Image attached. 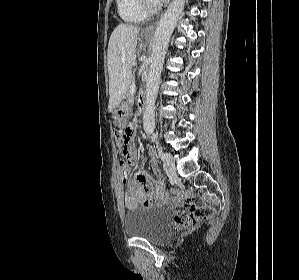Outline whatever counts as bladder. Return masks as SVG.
<instances>
[{
	"label": "bladder",
	"instance_id": "31cf9c89",
	"mask_svg": "<svg viewBox=\"0 0 299 280\" xmlns=\"http://www.w3.org/2000/svg\"><path fill=\"white\" fill-rule=\"evenodd\" d=\"M173 229L170 212L161 207L136 208L124 216V231L128 237L146 239L153 244L165 242Z\"/></svg>",
	"mask_w": 299,
	"mask_h": 280
}]
</instances>
